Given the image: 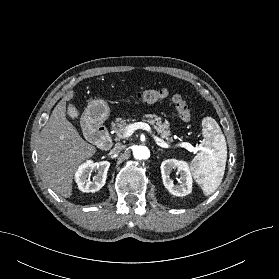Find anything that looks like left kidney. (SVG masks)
I'll use <instances>...</instances> for the list:
<instances>
[{
    "instance_id": "1",
    "label": "left kidney",
    "mask_w": 279,
    "mask_h": 279,
    "mask_svg": "<svg viewBox=\"0 0 279 279\" xmlns=\"http://www.w3.org/2000/svg\"><path fill=\"white\" fill-rule=\"evenodd\" d=\"M161 174L164 186L175 196H186L192 191L191 170L185 161L168 159L161 163ZM172 170H177L180 174L179 185H174L170 179Z\"/></svg>"
}]
</instances>
